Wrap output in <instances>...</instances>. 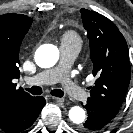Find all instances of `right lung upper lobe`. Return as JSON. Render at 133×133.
Returning a JSON list of instances; mask_svg holds the SVG:
<instances>
[{"label": "right lung upper lobe", "mask_w": 133, "mask_h": 133, "mask_svg": "<svg viewBox=\"0 0 133 133\" xmlns=\"http://www.w3.org/2000/svg\"><path fill=\"white\" fill-rule=\"evenodd\" d=\"M32 24V18L22 14L0 16V122L22 100L31 97L22 88H16L19 78V49Z\"/></svg>", "instance_id": "obj_1"}]
</instances>
